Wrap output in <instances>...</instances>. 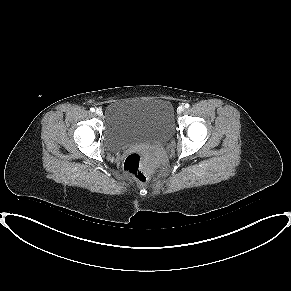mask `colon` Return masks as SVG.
Listing matches in <instances>:
<instances>
[{"instance_id":"colon-1","label":"colon","mask_w":291,"mask_h":291,"mask_svg":"<svg viewBox=\"0 0 291 291\" xmlns=\"http://www.w3.org/2000/svg\"><path fill=\"white\" fill-rule=\"evenodd\" d=\"M145 159L146 153L142 150H136L128 154L124 162L126 173L141 184H147L150 180L144 167Z\"/></svg>"}]
</instances>
